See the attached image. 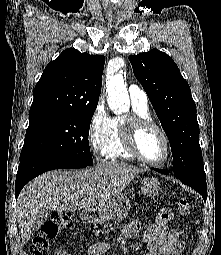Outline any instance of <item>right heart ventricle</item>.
<instances>
[{
  "label": "right heart ventricle",
  "instance_id": "obj_1",
  "mask_svg": "<svg viewBox=\"0 0 221 255\" xmlns=\"http://www.w3.org/2000/svg\"><path fill=\"white\" fill-rule=\"evenodd\" d=\"M132 107V116L150 118L148 106H141L133 103ZM121 124L122 122L120 119H113L111 130L103 147V155L111 160H134L135 157L125 147L121 133Z\"/></svg>",
  "mask_w": 221,
  "mask_h": 255
}]
</instances>
